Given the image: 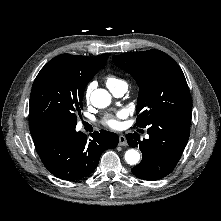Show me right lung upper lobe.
Wrapping results in <instances>:
<instances>
[{
  "instance_id": "right-lung-upper-lobe-1",
  "label": "right lung upper lobe",
  "mask_w": 221,
  "mask_h": 221,
  "mask_svg": "<svg viewBox=\"0 0 221 221\" xmlns=\"http://www.w3.org/2000/svg\"><path fill=\"white\" fill-rule=\"evenodd\" d=\"M109 55L110 54L107 53L96 57L78 56L80 59L81 70L89 76H94L100 69L105 66ZM30 131L33 139L44 134L64 132L62 130L43 124L30 125Z\"/></svg>"
}]
</instances>
